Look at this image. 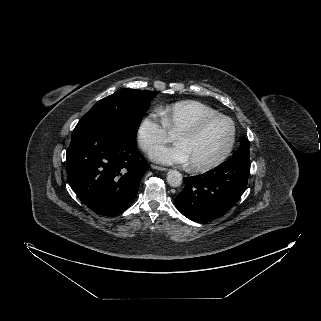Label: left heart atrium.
I'll list each match as a JSON object with an SVG mask.
<instances>
[{"instance_id": "left-heart-atrium-1", "label": "left heart atrium", "mask_w": 321, "mask_h": 321, "mask_svg": "<svg viewBox=\"0 0 321 321\" xmlns=\"http://www.w3.org/2000/svg\"><path fill=\"white\" fill-rule=\"evenodd\" d=\"M150 157L156 162L167 165L190 162L187 148L182 143L170 147H156L151 150Z\"/></svg>"}]
</instances>
